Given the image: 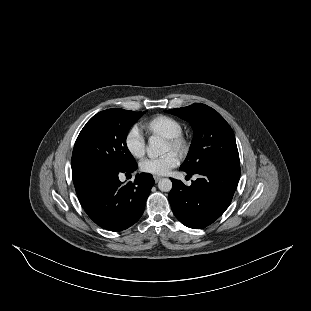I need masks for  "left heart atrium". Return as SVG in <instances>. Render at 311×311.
<instances>
[{
	"label": "left heart atrium",
	"mask_w": 311,
	"mask_h": 311,
	"mask_svg": "<svg viewBox=\"0 0 311 311\" xmlns=\"http://www.w3.org/2000/svg\"><path fill=\"white\" fill-rule=\"evenodd\" d=\"M179 163V155L175 151H170L161 157L142 161L139 167L145 174L162 177L168 175L173 168L179 165Z\"/></svg>",
	"instance_id": "left-heart-atrium-1"
}]
</instances>
